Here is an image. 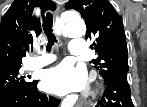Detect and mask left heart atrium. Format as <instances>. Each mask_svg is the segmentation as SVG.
<instances>
[{"mask_svg":"<svg viewBox=\"0 0 147 107\" xmlns=\"http://www.w3.org/2000/svg\"><path fill=\"white\" fill-rule=\"evenodd\" d=\"M86 84V74L83 68L62 63L47 70L42 78V87L47 92L56 95H66L80 91Z\"/></svg>","mask_w":147,"mask_h":107,"instance_id":"left-heart-atrium-1","label":"left heart atrium"}]
</instances>
